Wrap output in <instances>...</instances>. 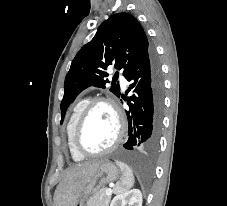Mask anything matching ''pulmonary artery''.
Returning <instances> with one entry per match:
<instances>
[{"instance_id":"1","label":"pulmonary artery","mask_w":227,"mask_h":206,"mask_svg":"<svg viewBox=\"0 0 227 206\" xmlns=\"http://www.w3.org/2000/svg\"><path fill=\"white\" fill-rule=\"evenodd\" d=\"M120 80H121V85H122V87L125 88L126 85H127L126 80H125L123 77H121Z\"/></svg>"}]
</instances>
